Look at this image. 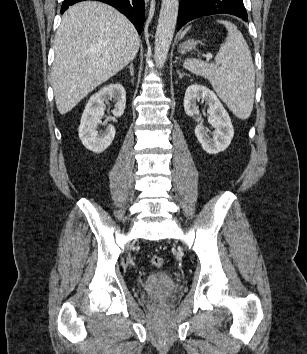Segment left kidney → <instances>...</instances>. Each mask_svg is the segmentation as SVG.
Segmentation results:
<instances>
[{"label": "left kidney", "instance_id": "1", "mask_svg": "<svg viewBox=\"0 0 307 354\" xmlns=\"http://www.w3.org/2000/svg\"><path fill=\"white\" fill-rule=\"evenodd\" d=\"M200 99L208 105V113L215 131L213 136L210 137L204 125L198 124L195 128V135L207 153L218 154L230 145L234 136L233 125L229 114L216 94L207 87L198 84L190 85L185 92L184 110L188 116L193 118L199 116V108L196 102Z\"/></svg>", "mask_w": 307, "mask_h": 354}]
</instances>
